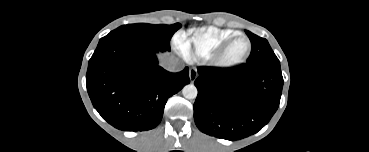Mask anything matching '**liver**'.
<instances>
[{"label": "liver", "mask_w": 369, "mask_h": 152, "mask_svg": "<svg viewBox=\"0 0 369 152\" xmlns=\"http://www.w3.org/2000/svg\"><path fill=\"white\" fill-rule=\"evenodd\" d=\"M168 58H171L168 54H166V55H161V56H160L161 63H162L165 59H168Z\"/></svg>", "instance_id": "obj_1"}]
</instances>
